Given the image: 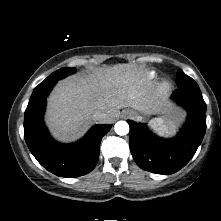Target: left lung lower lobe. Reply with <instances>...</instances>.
Here are the masks:
<instances>
[{"instance_id": "0a47b994", "label": "left lung lower lobe", "mask_w": 221, "mask_h": 221, "mask_svg": "<svg viewBox=\"0 0 221 221\" xmlns=\"http://www.w3.org/2000/svg\"><path fill=\"white\" fill-rule=\"evenodd\" d=\"M171 98L184 107L187 120L172 139H162L146 125L128 120L130 151L136 164L156 174H174L194 156L206 131V104L200 90L178 89Z\"/></svg>"}]
</instances>
